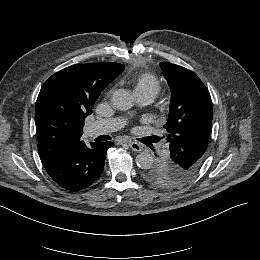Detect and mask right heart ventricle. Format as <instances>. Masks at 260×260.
<instances>
[{
    "label": "right heart ventricle",
    "mask_w": 260,
    "mask_h": 260,
    "mask_svg": "<svg viewBox=\"0 0 260 260\" xmlns=\"http://www.w3.org/2000/svg\"><path fill=\"white\" fill-rule=\"evenodd\" d=\"M129 83L135 96L147 95L154 99L162 90L161 80L146 71H134L130 75Z\"/></svg>",
    "instance_id": "1"
}]
</instances>
